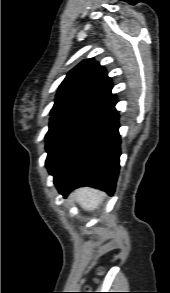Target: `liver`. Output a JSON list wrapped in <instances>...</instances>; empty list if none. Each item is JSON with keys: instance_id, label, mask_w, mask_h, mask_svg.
<instances>
[{"instance_id": "1", "label": "liver", "mask_w": 170, "mask_h": 293, "mask_svg": "<svg viewBox=\"0 0 170 293\" xmlns=\"http://www.w3.org/2000/svg\"><path fill=\"white\" fill-rule=\"evenodd\" d=\"M104 194L93 188L84 187L75 194L76 202L86 211H93L102 202Z\"/></svg>"}]
</instances>
